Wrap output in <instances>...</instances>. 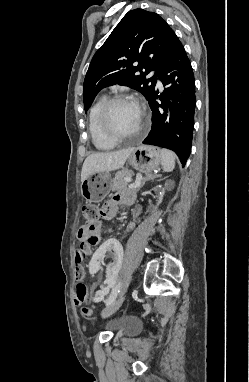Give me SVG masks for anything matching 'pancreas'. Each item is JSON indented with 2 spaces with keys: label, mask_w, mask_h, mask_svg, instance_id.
Wrapping results in <instances>:
<instances>
[{
  "label": "pancreas",
  "mask_w": 249,
  "mask_h": 382,
  "mask_svg": "<svg viewBox=\"0 0 249 382\" xmlns=\"http://www.w3.org/2000/svg\"><path fill=\"white\" fill-rule=\"evenodd\" d=\"M133 175L132 171L128 169H123L115 174V177L112 180L111 188L113 191L117 190H126L128 189V182L125 178H131Z\"/></svg>",
  "instance_id": "1"
}]
</instances>
